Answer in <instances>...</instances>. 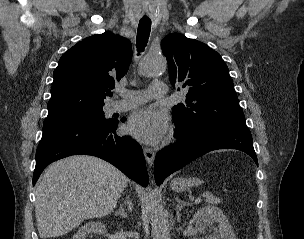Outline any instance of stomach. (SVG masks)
<instances>
[{
	"label": "stomach",
	"mask_w": 304,
	"mask_h": 239,
	"mask_svg": "<svg viewBox=\"0 0 304 239\" xmlns=\"http://www.w3.org/2000/svg\"><path fill=\"white\" fill-rule=\"evenodd\" d=\"M202 183V180L198 178H175L172 183L171 187L173 190L180 192L185 190L188 187L191 186H197Z\"/></svg>",
	"instance_id": "0dacf381"
}]
</instances>
